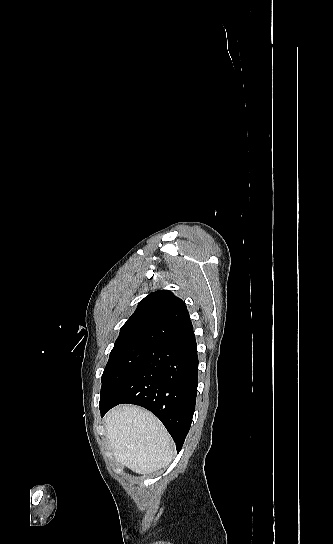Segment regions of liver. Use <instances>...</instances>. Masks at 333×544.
<instances>
[{"label":"liver","mask_w":333,"mask_h":544,"mask_svg":"<svg viewBox=\"0 0 333 544\" xmlns=\"http://www.w3.org/2000/svg\"><path fill=\"white\" fill-rule=\"evenodd\" d=\"M117 462L145 474L167 467L174 443L161 422L150 412L130 405L117 406L104 418Z\"/></svg>","instance_id":"liver-1"}]
</instances>
